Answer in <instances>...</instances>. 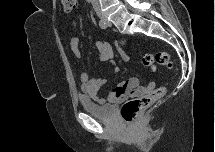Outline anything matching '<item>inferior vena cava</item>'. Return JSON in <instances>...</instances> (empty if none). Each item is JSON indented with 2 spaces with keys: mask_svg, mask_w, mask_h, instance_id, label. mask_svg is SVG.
<instances>
[{
  "mask_svg": "<svg viewBox=\"0 0 215 152\" xmlns=\"http://www.w3.org/2000/svg\"><path fill=\"white\" fill-rule=\"evenodd\" d=\"M92 4L94 7H97L98 6V0H92Z\"/></svg>",
  "mask_w": 215,
  "mask_h": 152,
  "instance_id": "1",
  "label": "inferior vena cava"
}]
</instances>
